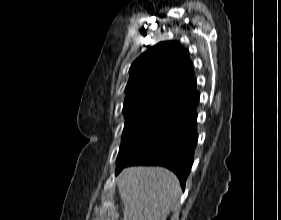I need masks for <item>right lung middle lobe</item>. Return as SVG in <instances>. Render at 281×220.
Here are the masks:
<instances>
[{
  "instance_id": "right-lung-middle-lobe-1",
  "label": "right lung middle lobe",
  "mask_w": 281,
  "mask_h": 220,
  "mask_svg": "<svg viewBox=\"0 0 281 220\" xmlns=\"http://www.w3.org/2000/svg\"><path fill=\"white\" fill-rule=\"evenodd\" d=\"M169 120L170 118L158 116L127 118L116 160V170L125 165Z\"/></svg>"
}]
</instances>
